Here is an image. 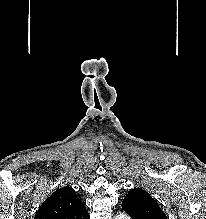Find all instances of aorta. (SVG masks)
Segmentation results:
<instances>
[{
    "mask_svg": "<svg viewBox=\"0 0 206 219\" xmlns=\"http://www.w3.org/2000/svg\"><path fill=\"white\" fill-rule=\"evenodd\" d=\"M115 219H130L126 214L120 213L118 214Z\"/></svg>",
    "mask_w": 206,
    "mask_h": 219,
    "instance_id": "1",
    "label": "aorta"
}]
</instances>
